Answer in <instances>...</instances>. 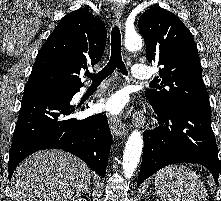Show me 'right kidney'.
I'll list each match as a JSON object with an SVG mask.
<instances>
[{
  "label": "right kidney",
  "instance_id": "obj_1",
  "mask_svg": "<svg viewBox=\"0 0 221 201\" xmlns=\"http://www.w3.org/2000/svg\"><path fill=\"white\" fill-rule=\"evenodd\" d=\"M74 201H86V199L85 198H79V199L74 200Z\"/></svg>",
  "mask_w": 221,
  "mask_h": 201
}]
</instances>
